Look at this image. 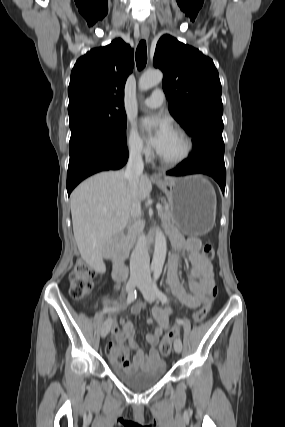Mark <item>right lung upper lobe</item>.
<instances>
[{"instance_id": "obj_1", "label": "right lung upper lobe", "mask_w": 285, "mask_h": 427, "mask_svg": "<svg viewBox=\"0 0 285 427\" xmlns=\"http://www.w3.org/2000/svg\"><path fill=\"white\" fill-rule=\"evenodd\" d=\"M134 65L133 50L122 39L92 49L71 72L69 115L88 110H124V86Z\"/></svg>"}]
</instances>
